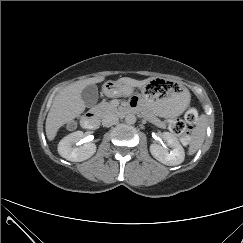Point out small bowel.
I'll use <instances>...</instances> for the list:
<instances>
[{
	"label": "small bowel",
	"instance_id": "obj_1",
	"mask_svg": "<svg viewBox=\"0 0 243 243\" xmlns=\"http://www.w3.org/2000/svg\"><path fill=\"white\" fill-rule=\"evenodd\" d=\"M131 106H132V107H135V106H136L135 102H132V103H131Z\"/></svg>",
	"mask_w": 243,
	"mask_h": 243
}]
</instances>
